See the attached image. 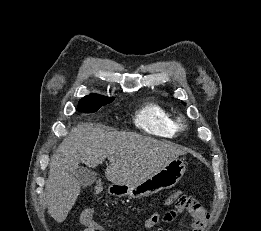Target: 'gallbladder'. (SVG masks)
I'll list each match as a JSON object with an SVG mask.
<instances>
[{
	"instance_id": "obj_1",
	"label": "gallbladder",
	"mask_w": 261,
	"mask_h": 231,
	"mask_svg": "<svg viewBox=\"0 0 261 231\" xmlns=\"http://www.w3.org/2000/svg\"><path fill=\"white\" fill-rule=\"evenodd\" d=\"M74 175L84 188L92 185L97 178V174L93 170L83 166H78Z\"/></svg>"
}]
</instances>
